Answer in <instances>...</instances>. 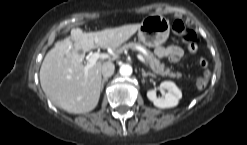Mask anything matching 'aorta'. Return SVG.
Instances as JSON below:
<instances>
[{
	"label": "aorta",
	"mask_w": 247,
	"mask_h": 145,
	"mask_svg": "<svg viewBox=\"0 0 247 145\" xmlns=\"http://www.w3.org/2000/svg\"><path fill=\"white\" fill-rule=\"evenodd\" d=\"M132 67L128 64H123L120 69H119V72L121 74V76H124V77H128L132 74Z\"/></svg>",
	"instance_id": "1"
}]
</instances>
